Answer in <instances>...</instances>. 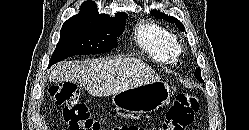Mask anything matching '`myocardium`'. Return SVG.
<instances>
[{
	"instance_id": "1",
	"label": "myocardium",
	"mask_w": 249,
	"mask_h": 130,
	"mask_svg": "<svg viewBox=\"0 0 249 130\" xmlns=\"http://www.w3.org/2000/svg\"><path fill=\"white\" fill-rule=\"evenodd\" d=\"M178 49H179V51H181V50H182V47H178Z\"/></svg>"
}]
</instances>
